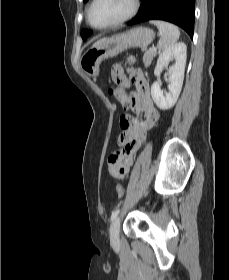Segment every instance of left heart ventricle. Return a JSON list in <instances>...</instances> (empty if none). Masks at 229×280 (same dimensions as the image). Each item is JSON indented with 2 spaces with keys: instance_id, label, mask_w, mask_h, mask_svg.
Here are the masks:
<instances>
[{
  "instance_id": "obj_1",
  "label": "left heart ventricle",
  "mask_w": 229,
  "mask_h": 280,
  "mask_svg": "<svg viewBox=\"0 0 229 280\" xmlns=\"http://www.w3.org/2000/svg\"><path fill=\"white\" fill-rule=\"evenodd\" d=\"M130 8L131 0H98L92 9L91 21L102 26L123 17Z\"/></svg>"
}]
</instances>
